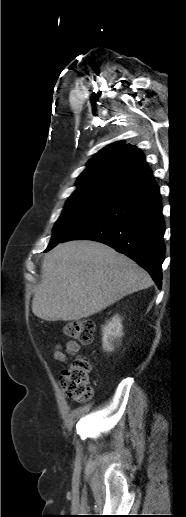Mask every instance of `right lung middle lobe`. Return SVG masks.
<instances>
[{
    "label": "right lung middle lobe",
    "mask_w": 186,
    "mask_h": 517,
    "mask_svg": "<svg viewBox=\"0 0 186 517\" xmlns=\"http://www.w3.org/2000/svg\"><path fill=\"white\" fill-rule=\"evenodd\" d=\"M115 202L117 201L96 197H70L55 224L47 250L56 246L79 227L111 207Z\"/></svg>",
    "instance_id": "dd1d6c3e"
}]
</instances>
